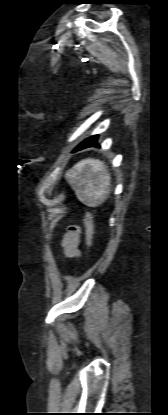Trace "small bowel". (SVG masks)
<instances>
[{
    "label": "small bowel",
    "instance_id": "1",
    "mask_svg": "<svg viewBox=\"0 0 168 415\" xmlns=\"http://www.w3.org/2000/svg\"><path fill=\"white\" fill-rule=\"evenodd\" d=\"M71 231L66 233L61 240V247L66 257L77 258L80 254V233L76 228H70Z\"/></svg>",
    "mask_w": 168,
    "mask_h": 415
}]
</instances>
